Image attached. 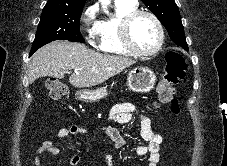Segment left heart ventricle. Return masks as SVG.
<instances>
[{
	"instance_id": "b2bd125f",
	"label": "left heart ventricle",
	"mask_w": 227,
	"mask_h": 166,
	"mask_svg": "<svg viewBox=\"0 0 227 166\" xmlns=\"http://www.w3.org/2000/svg\"><path fill=\"white\" fill-rule=\"evenodd\" d=\"M131 39L141 50L152 49L158 39L154 22L147 16L139 17L131 27Z\"/></svg>"
}]
</instances>
